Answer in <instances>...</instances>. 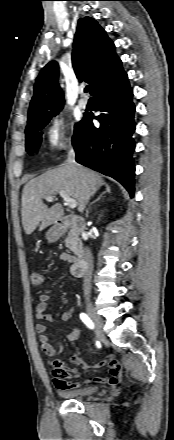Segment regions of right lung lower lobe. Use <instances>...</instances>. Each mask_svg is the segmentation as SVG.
<instances>
[{
	"mask_svg": "<svg viewBox=\"0 0 174 440\" xmlns=\"http://www.w3.org/2000/svg\"><path fill=\"white\" fill-rule=\"evenodd\" d=\"M98 111L85 114L73 137L76 161L119 181L133 197L135 166L132 153L135 148L133 92L121 61L106 75L92 93Z\"/></svg>",
	"mask_w": 174,
	"mask_h": 440,
	"instance_id": "obj_1",
	"label": "right lung lower lobe"
}]
</instances>
